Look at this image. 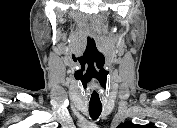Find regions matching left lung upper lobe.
I'll return each instance as SVG.
<instances>
[{
    "label": "left lung upper lobe",
    "instance_id": "obj_1",
    "mask_svg": "<svg viewBox=\"0 0 177 128\" xmlns=\"http://www.w3.org/2000/svg\"><path fill=\"white\" fill-rule=\"evenodd\" d=\"M120 126H133V124L125 123V124H121Z\"/></svg>",
    "mask_w": 177,
    "mask_h": 128
}]
</instances>
